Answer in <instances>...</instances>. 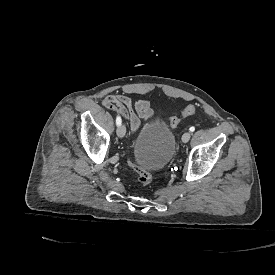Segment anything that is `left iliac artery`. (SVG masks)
Segmentation results:
<instances>
[{"label":"left iliac artery","mask_w":275,"mask_h":275,"mask_svg":"<svg viewBox=\"0 0 275 275\" xmlns=\"http://www.w3.org/2000/svg\"><path fill=\"white\" fill-rule=\"evenodd\" d=\"M194 130H195V127H193V126L189 128L190 132H193Z\"/></svg>","instance_id":"obj_1"}]
</instances>
